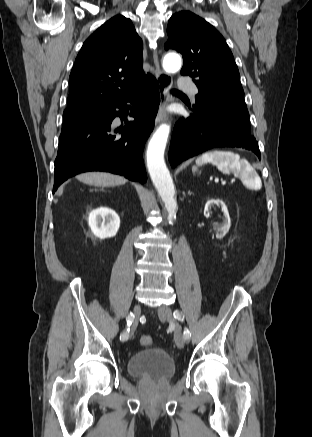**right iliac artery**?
<instances>
[{
    "mask_svg": "<svg viewBox=\"0 0 312 437\" xmlns=\"http://www.w3.org/2000/svg\"><path fill=\"white\" fill-rule=\"evenodd\" d=\"M126 321H127V326L128 328L120 335V340L121 341H126L129 337V331H130V326L132 325L133 321H134V315L132 313H130L127 317H126Z\"/></svg>",
    "mask_w": 312,
    "mask_h": 437,
    "instance_id": "obj_1",
    "label": "right iliac artery"
}]
</instances>
